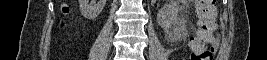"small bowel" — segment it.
Listing matches in <instances>:
<instances>
[{
	"mask_svg": "<svg viewBox=\"0 0 267 60\" xmlns=\"http://www.w3.org/2000/svg\"><path fill=\"white\" fill-rule=\"evenodd\" d=\"M218 26L214 23L212 29L208 33V43L211 45L213 51H216L219 45V37L217 35Z\"/></svg>",
	"mask_w": 267,
	"mask_h": 60,
	"instance_id": "1",
	"label": "small bowel"
}]
</instances>
